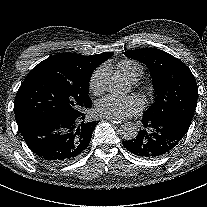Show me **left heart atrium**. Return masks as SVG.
<instances>
[{
  "mask_svg": "<svg viewBox=\"0 0 207 207\" xmlns=\"http://www.w3.org/2000/svg\"><path fill=\"white\" fill-rule=\"evenodd\" d=\"M143 102L138 96L108 95L98 102L97 111L110 119H126L141 112Z\"/></svg>",
  "mask_w": 207,
  "mask_h": 207,
  "instance_id": "1",
  "label": "left heart atrium"
}]
</instances>
